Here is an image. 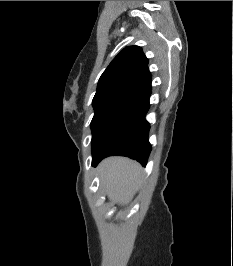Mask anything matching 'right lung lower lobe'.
I'll list each match as a JSON object with an SVG mask.
<instances>
[{
	"label": "right lung lower lobe",
	"mask_w": 233,
	"mask_h": 266,
	"mask_svg": "<svg viewBox=\"0 0 233 266\" xmlns=\"http://www.w3.org/2000/svg\"><path fill=\"white\" fill-rule=\"evenodd\" d=\"M149 97L124 121V123L92 153V165H97L110 155L127 156L146 165L151 145L148 141L149 124L145 120Z\"/></svg>",
	"instance_id": "98d812e1"
}]
</instances>
